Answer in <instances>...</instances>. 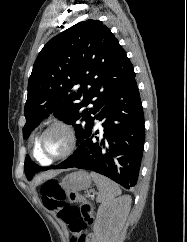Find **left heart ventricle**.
Segmentation results:
<instances>
[{
    "label": "left heart ventricle",
    "instance_id": "b2bd125f",
    "mask_svg": "<svg viewBox=\"0 0 187 242\" xmlns=\"http://www.w3.org/2000/svg\"><path fill=\"white\" fill-rule=\"evenodd\" d=\"M67 146V136L59 129L50 131L42 142L43 152L48 156L61 154Z\"/></svg>",
    "mask_w": 187,
    "mask_h": 242
}]
</instances>
